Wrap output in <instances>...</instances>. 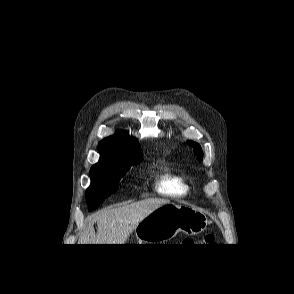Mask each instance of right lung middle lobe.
Here are the masks:
<instances>
[{"instance_id":"obj_1","label":"right lung middle lobe","mask_w":294,"mask_h":294,"mask_svg":"<svg viewBox=\"0 0 294 294\" xmlns=\"http://www.w3.org/2000/svg\"><path fill=\"white\" fill-rule=\"evenodd\" d=\"M138 159H100L90 170L91 185L86 191L90 209H95L106 197L119 187L120 179Z\"/></svg>"}]
</instances>
